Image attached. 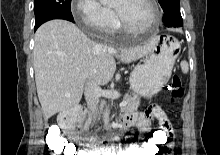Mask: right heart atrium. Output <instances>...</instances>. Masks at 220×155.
<instances>
[{
    "instance_id": "obj_1",
    "label": "right heart atrium",
    "mask_w": 220,
    "mask_h": 155,
    "mask_svg": "<svg viewBox=\"0 0 220 155\" xmlns=\"http://www.w3.org/2000/svg\"><path fill=\"white\" fill-rule=\"evenodd\" d=\"M71 11L77 22L91 33L106 35L116 24L113 11L98 0H74Z\"/></svg>"
}]
</instances>
